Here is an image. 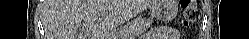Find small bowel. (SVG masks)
I'll return each instance as SVG.
<instances>
[{
	"label": "small bowel",
	"instance_id": "obj_1",
	"mask_svg": "<svg viewBox=\"0 0 249 39\" xmlns=\"http://www.w3.org/2000/svg\"><path fill=\"white\" fill-rule=\"evenodd\" d=\"M175 32V29L169 27H160L150 30L144 39H168Z\"/></svg>",
	"mask_w": 249,
	"mask_h": 39
}]
</instances>
